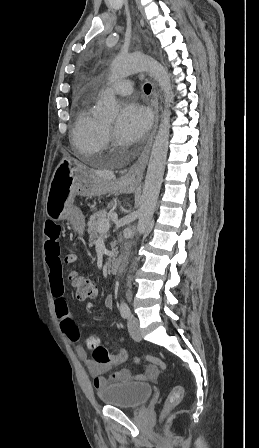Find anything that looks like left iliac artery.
I'll return each instance as SVG.
<instances>
[{
    "instance_id": "1",
    "label": "left iliac artery",
    "mask_w": 259,
    "mask_h": 448,
    "mask_svg": "<svg viewBox=\"0 0 259 448\" xmlns=\"http://www.w3.org/2000/svg\"><path fill=\"white\" fill-rule=\"evenodd\" d=\"M120 313L123 318H129L131 316L130 308L125 301H122L120 304Z\"/></svg>"
}]
</instances>
